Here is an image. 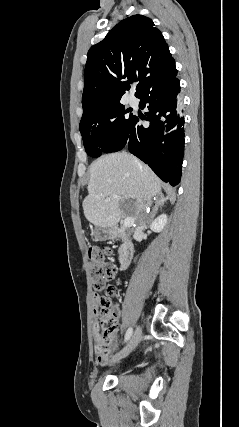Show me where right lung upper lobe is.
<instances>
[{
	"label": "right lung upper lobe",
	"instance_id": "cb5924a9",
	"mask_svg": "<svg viewBox=\"0 0 239 427\" xmlns=\"http://www.w3.org/2000/svg\"><path fill=\"white\" fill-rule=\"evenodd\" d=\"M177 72L162 33L153 21L133 15L92 46L85 66L83 116L92 108L120 101L138 81L135 96Z\"/></svg>",
	"mask_w": 239,
	"mask_h": 427
}]
</instances>
